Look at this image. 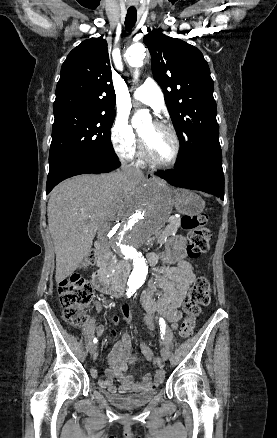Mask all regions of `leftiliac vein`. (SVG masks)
<instances>
[{
  "label": "left iliac vein",
  "mask_w": 277,
  "mask_h": 438,
  "mask_svg": "<svg viewBox=\"0 0 277 438\" xmlns=\"http://www.w3.org/2000/svg\"><path fill=\"white\" fill-rule=\"evenodd\" d=\"M161 355H162L164 360H168V358H169V350H168V348L166 346L162 347Z\"/></svg>",
  "instance_id": "4c4485c4"
}]
</instances>
